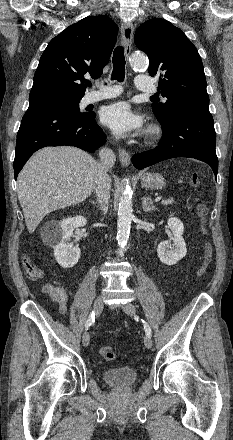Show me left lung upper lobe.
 <instances>
[{
	"label": "left lung upper lobe",
	"mask_w": 233,
	"mask_h": 440,
	"mask_svg": "<svg viewBox=\"0 0 233 440\" xmlns=\"http://www.w3.org/2000/svg\"><path fill=\"white\" fill-rule=\"evenodd\" d=\"M137 47L149 57V74L159 77L166 103L152 104L162 125L183 108L208 109L209 97L201 57L181 29L164 19H151L135 32Z\"/></svg>",
	"instance_id": "left-lung-upper-lobe-1"
}]
</instances>
